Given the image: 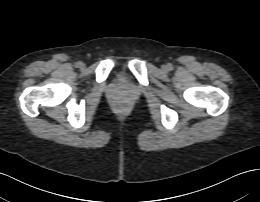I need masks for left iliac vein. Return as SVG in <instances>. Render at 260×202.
Masks as SVG:
<instances>
[{"label":"left iliac vein","mask_w":260,"mask_h":202,"mask_svg":"<svg viewBox=\"0 0 260 202\" xmlns=\"http://www.w3.org/2000/svg\"><path fill=\"white\" fill-rule=\"evenodd\" d=\"M163 69H166V66H163Z\"/></svg>","instance_id":"1"}]
</instances>
